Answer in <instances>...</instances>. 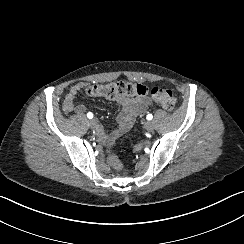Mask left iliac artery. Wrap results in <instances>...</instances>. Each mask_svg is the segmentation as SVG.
Returning <instances> with one entry per match:
<instances>
[{"mask_svg": "<svg viewBox=\"0 0 244 244\" xmlns=\"http://www.w3.org/2000/svg\"><path fill=\"white\" fill-rule=\"evenodd\" d=\"M146 118H147V120H152L153 116H152V114H148Z\"/></svg>", "mask_w": 244, "mask_h": 244, "instance_id": "1", "label": "left iliac artery"}]
</instances>
